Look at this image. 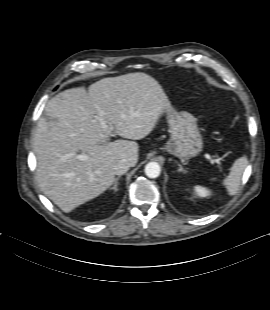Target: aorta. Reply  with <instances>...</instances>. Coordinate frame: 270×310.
Here are the masks:
<instances>
[{"label": "aorta", "instance_id": "aorta-1", "mask_svg": "<svg viewBox=\"0 0 270 310\" xmlns=\"http://www.w3.org/2000/svg\"><path fill=\"white\" fill-rule=\"evenodd\" d=\"M161 168L157 162H149L145 166V174L149 178H157L160 175Z\"/></svg>", "mask_w": 270, "mask_h": 310}]
</instances>
